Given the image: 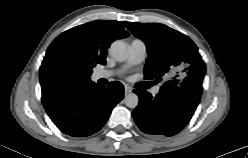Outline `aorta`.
<instances>
[{
	"label": "aorta",
	"instance_id": "762f6f07",
	"mask_svg": "<svg viewBox=\"0 0 248 158\" xmlns=\"http://www.w3.org/2000/svg\"><path fill=\"white\" fill-rule=\"evenodd\" d=\"M110 55L118 62L125 61L129 56L127 45L121 41H114L110 46ZM124 102L129 108H136L139 103V98L135 93H129L125 96Z\"/></svg>",
	"mask_w": 248,
	"mask_h": 158
}]
</instances>
